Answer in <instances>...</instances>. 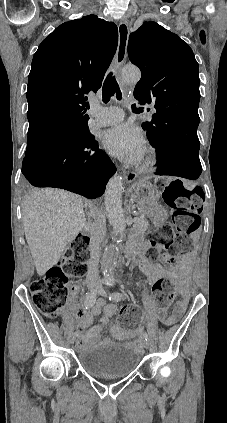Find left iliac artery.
Listing matches in <instances>:
<instances>
[{"mask_svg":"<svg viewBox=\"0 0 227 423\" xmlns=\"http://www.w3.org/2000/svg\"><path fill=\"white\" fill-rule=\"evenodd\" d=\"M122 298H123V296L119 292L112 293L109 296V300H113V301H119ZM144 339H145V341H149V337H148V334L147 333H144Z\"/></svg>","mask_w":227,"mask_h":423,"instance_id":"obj_1","label":"left iliac artery"}]
</instances>
